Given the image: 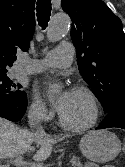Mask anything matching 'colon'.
<instances>
[{
    "instance_id": "5ec220e1",
    "label": "colon",
    "mask_w": 125,
    "mask_h": 167,
    "mask_svg": "<svg viewBox=\"0 0 125 167\" xmlns=\"http://www.w3.org/2000/svg\"><path fill=\"white\" fill-rule=\"evenodd\" d=\"M123 152L125 153V143L123 144Z\"/></svg>"
}]
</instances>
